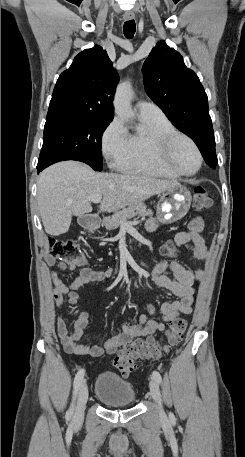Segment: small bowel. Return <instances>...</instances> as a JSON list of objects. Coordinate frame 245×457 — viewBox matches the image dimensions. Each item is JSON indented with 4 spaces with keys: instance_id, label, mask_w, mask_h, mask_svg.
<instances>
[{
    "instance_id": "obj_1",
    "label": "small bowel",
    "mask_w": 245,
    "mask_h": 457,
    "mask_svg": "<svg viewBox=\"0 0 245 457\" xmlns=\"http://www.w3.org/2000/svg\"><path fill=\"white\" fill-rule=\"evenodd\" d=\"M158 227L156 219L152 218L147 222V229L154 231ZM204 220L201 216L194 217L186 231L176 233L174 242L177 245L191 244L194 247L196 258L204 260L207 256L205 240L202 236ZM45 262L49 267L57 266L62 270H74L76 263L69 260L56 259L47 256ZM169 270L171 276L165 272ZM53 285V300L57 309L65 298L71 305L78 301L77 290L90 282H101L111 276L113 271H95L89 267L83 268L79 275L67 283L60 279L55 272L49 273ZM152 281L162 289L169 291L177 300L166 301L160 307L161 320L149 318L155 314V307L147 303V314H141L136 323H122L121 328L115 332L103 345H85L79 343L89 323V315L80 312L70 332L67 327V320L58 316L56 329L63 348L70 354L79 356L99 357L104 354H114L122 346L142 336H152L157 332L165 330V323L177 318L180 314L192 312L193 296L195 294L194 284L203 276L202 270L191 271L176 260H164L155 265L151 274Z\"/></svg>"
}]
</instances>
